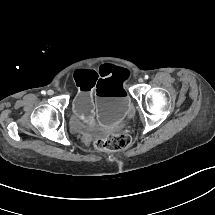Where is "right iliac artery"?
<instances>
[{"label": "right iliac artery", "mask_w": 215, "mask_h": 215, "mask_svg": "<svg viewBox=\"0 0 215 215\" xmlns=\"http://www.w3.org/2000/svg\"><path fill=\"white\" fill-rule=\"evenodd\" d=\"M41 93H42V94H44V95L46 94V92H45V91H42Z\"/></svg>", "instance_id": "82829eb1"}]
</instances>
